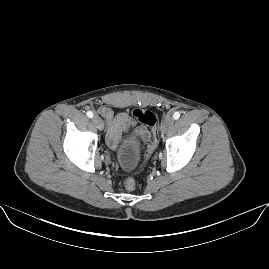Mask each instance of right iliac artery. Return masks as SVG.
Instances as JSON below:
<instances>
[{"label": "right iliac artery", "mask_w": 269, "mask_h": 269, "mask_svg": "<svg viewBox=\"0 0 269 269\" xmlns=\"http://www.w3.org/2000/svg\"><path fill=\"white\" fill-rule=\"evenodd\" d=\"M87 116H88L89 118H92V117H93V113H92L91 111H88V112H87Z\"/></svg>", "instance_id": "1"}]
</instances>
